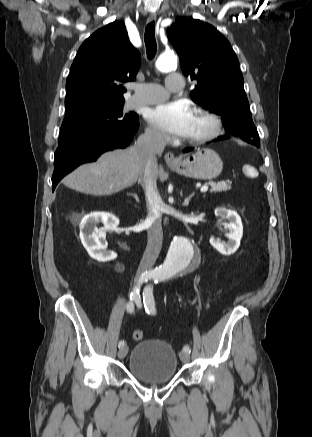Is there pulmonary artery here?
I'll use <instances>...</instances> for the list:
<instances>
[{"label":"pulmonary artery","instance_id":"obj_1","mask_svg":"<svg viewBox=\"0 0 312 437\" xmlns=\"http://www.w3.org/2000/svg\"><path fill=\"white\" fill-rule=\"evenodd\" d=\"M184 86V78L179 73L170 74L166 77L165 87L158 84H141L133 87L134 94L129 105L137 107L158 103L166 99L169 92L179 91Z\"/></svg>","mask_w":312,"mask_h":437}]
</instances>
